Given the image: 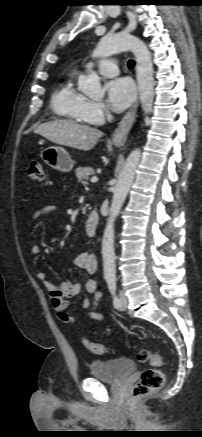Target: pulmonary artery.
<instances>
[{"label": "pulmonary artery", "instance_id": "obj_1", "mask_svg": "<svg viewBox=\"0 0 202 437\" xmlns=\"http://www.w3.org/2000/svg\"><path fill=\"white\" fill-rule=\"evenodd\" d=\"M86 67L88 69L96 68L105 77H114L119 73L117 63L109 59L101 60L97 63H88Z\"/></svg>", "mask_w": 202, "mask_h": 437}]
</instances>
